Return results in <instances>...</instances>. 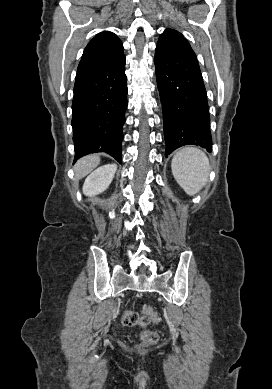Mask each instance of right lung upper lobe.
Instances as JSON below:
<instances>
[{"label":"right lung upper lobe","mask_w":272,"mask_h":389,"mask_svg":"<svg viewBox=\"0 0 272 389\" xmlns=\"http://www.w3.org/2000/svg\"><path fill=\"white\" fill-rule=\"evenodd\" d=\"M123 54V46L118 37L109 31L97 34L86 46L77 72L86 71L109 63Z\"/></svg>","instance_id":"right-lung-upper-lobe-1"}]
</instances>
